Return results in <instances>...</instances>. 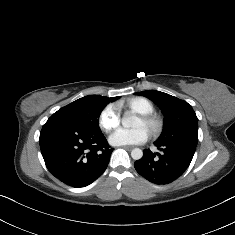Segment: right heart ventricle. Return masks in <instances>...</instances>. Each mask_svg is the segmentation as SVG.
Returning <instances> with one entry per match:
<instances>
[{
	"label": "right heart ventricle",
	"mask_w": 235,
	"mask_h": 235,
	"mask_svg": "<svg viewBox=\"0 0 235 235\" xmlns=\"http://www.w3.org/2000/svg\"><path fill=\"white\" fill-rule=\"evenodd\" d=\"M123 105L130 110L140 114L149 115L154 112L153 103L145 97H131L128 98Z\"/></svg>",
	"instance_id": "obj_1"
}]
</instances>
